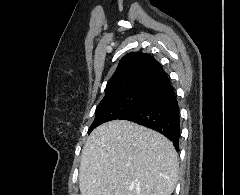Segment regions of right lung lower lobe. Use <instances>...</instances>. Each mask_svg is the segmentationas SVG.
<instances>
[{
    "label": "right lung lower lobe",
    "mask_w": 240,
    "mask_h": 195,
    "mask_svg": "<svg viewBox=\"0 0 240 195\" xmlns=\"http://www.w3.org/2000/svg\"><path fill=\"white\" fill-rule=\"evenodd\" d=\"M119 119L129 120L156 130L179 148L180 115L178 101L169 79L147 92L144 100Z\"/></svg>",
    "instance_id": "1"
}]
</instances>
